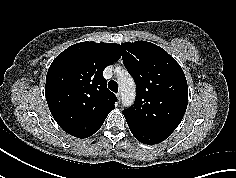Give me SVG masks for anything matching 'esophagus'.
Here are the masks:
<instances>
[{"mask_svg":"<svg viewBox=\"0 0 236 178\" xmlns=\"http://www.w3.org/2000/svg\"><path fill=\"white\" fill-rule=\"evenodd\" d=\"M116 97H117L118 101L120 102V100H121V94H120V93H117V94H116Z\"/></svg>","mask_w":236,"mask_h":178,"instance_id":"esophagus-1","label":"esophagus"}]
</instances>
